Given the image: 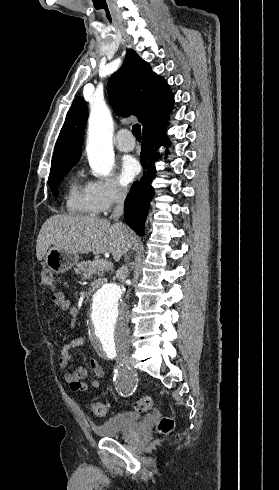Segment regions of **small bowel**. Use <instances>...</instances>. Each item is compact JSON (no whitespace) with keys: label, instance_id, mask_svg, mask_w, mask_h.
<instances>
[{"label":"small bowel","instance_id":"small-bowel-1","mask_svg":"<svg viewBox=\"0 0 279 490\" xmlns=\"http://www.w3.org/2000/svg\"><path fill=\"white\" fill-rule=\"evenodd\" d=\"M52 306L59 311H68L71 308V302L61 293H55L52 297ZM84 342L82 337H77L65 344L60 352L58 363L62 369H67L71 364V350L81 346ZM90 367L97 376V379L90 381L92 388L100 386V380L106 378V372L96 359L90 360ZM87 376L86 368L79 366L74 371H67L64 374V380L70 385L73 391H85L88 387L82 380Z\"/></svg>","mask_w":279,"mask_h":490}]
</instances>
